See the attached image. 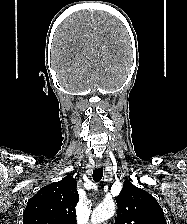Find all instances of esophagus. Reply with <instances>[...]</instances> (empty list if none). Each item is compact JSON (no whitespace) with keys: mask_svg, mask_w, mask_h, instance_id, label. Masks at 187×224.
Returning a JSON list of instances; mask_svg holds the SVG:
<instances>
[{"mask_svg":"<svg viewBox=\"0 0 187 224\" xmlns=\"http://www.w3.org/2000/svg\"><path fill=\"white\" fill-rule=\"evenodd\" d=\"M102 166V163L101 162H96V167L99 168Z\"/></svg>","mask_w":187,"mask_h":224,"instance_id":"esophagus-1","label":"esophagus"}]
</instances>
